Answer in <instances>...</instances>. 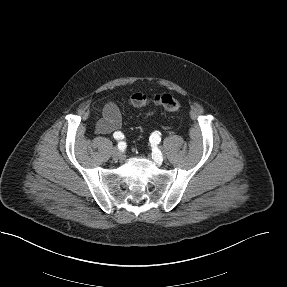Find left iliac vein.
I'll use <instances>...</instances> for the list:
<instances>
[{"instance_id": "4c4485c4", "label": "left iliac vein", "mask_w": 287, "mask_h": 287, "mask_svg": "<svg viewBox=\"0 0 287 287\" xmlns=\"http://www.w3.org/2000/svg\"><path fill=\"white\" fill-rule=\"evenodd\" d=\"M163 155L159 152V153H156L155 156H154V161L156 164L160 165L162 162H163Z\"/></svg>"}]
</instances>
